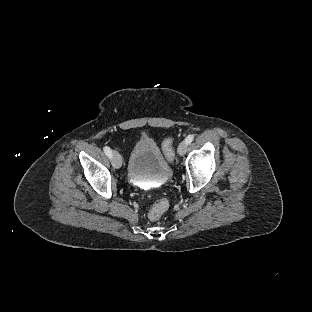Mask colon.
Returning a JSON list of instances; mask_svg holds the SVG:
<instances>
[{
    "label": "colon",
    "mask_w": 312,
    "mask_h": 312,
    "mask_svg": "<svg viewBox=\"0 0 312 312\" xmlns=\"http://www.w3.org/2000/svg\"><path fill=\"white\" fill-rule=\"evenodd\" d=\"M173 136L169 135L162 143L163 150L166 154V158L169 162L174 160V153H173ZM166 205L164 203H156L150 210V215L153 217L160 216L165 211Z\"/></svg>",
    "instance_id": "obj_1"
}]
</instances>
